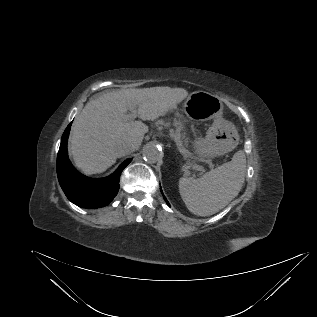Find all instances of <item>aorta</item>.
Segmentation results:
<instances>
[{
  "label": "aorta",
  "mask_w": 317,
  "mask_h": 317,
  "mask_svg": "<svg viewBox=\"0 0 317 317\" xmlns=\"http://www.w3.org/2000/svg\"><path fill=\"white\" fill-rule=\"evenodd\" d=\"M143 158L148 163H156L162 156L158 145L154 143L147 144L143 149Z\"/></svg>",
  "instance_id": "762f6f07"
}]
</instances>
